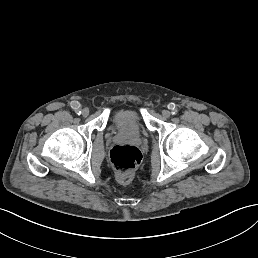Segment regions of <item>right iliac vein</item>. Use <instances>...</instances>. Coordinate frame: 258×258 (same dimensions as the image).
Segmentation results:
<instances>
[{
    "mask_svg": "<svg viewBox=\"0 0 258 258\" xmlns=\"http://www.w3.org/2000/svg\"><path fill=\"white\" fill-rule=\"evenodd\" d=\"M81 114L83 117H87L89 114H90V111L88 108H84L82 111H81Z\"/></svg>",
    "mask_w": 258,
    "mask_h": 258,
    "instance_id": "obj_1",
    "label": "right iliac vein"
}]
</instances>
